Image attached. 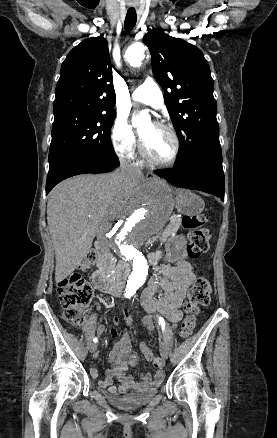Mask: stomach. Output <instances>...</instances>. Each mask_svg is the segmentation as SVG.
Here are the masks:
<instances>
[{
    "instance_id": "obj_1",
    "label": "stomach",
    "mask_w": 277,
    "mask_h": 438,
    "mask_svg": "<svg viewBox=\"0 0 277 438\" xmlns=\"http://www.w3.org/2000/svg\"><path fill=\"white\" fill-rule=\"evenodd\" d=\"M204 201L188 190H178L175 207L177 211L185 216L199 215L204 209ZM185 247V241L181 236L172 237L167 245V260L175 262L181 258Z\"/></svg>"
}]
</instances>
